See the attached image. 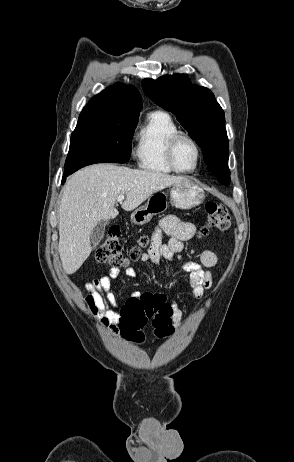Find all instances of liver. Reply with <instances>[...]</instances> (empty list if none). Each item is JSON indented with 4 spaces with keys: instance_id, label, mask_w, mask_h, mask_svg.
I'll list each match as a JSON object with an SVG mask.
<instances>
[{
    "instance_id": "1",
    "label": "liver",
    "mask_w": 294,
    "mask_h": 462,
    "mask_svg": "<svg viewBox=\"0 0 294 462\" xmlns=\"http://www.w3.org/2000/svg\"><path fill=\"white\" fill-rule=\"evenodd\" d=\"M185 180L161 172L130 169L113 164H96L74 173L63 188L59 206L58 251L64 271L75 273L89 257L90 235L98 222L114 219L121 207L132 211L152 194Z\"/></svg>"
}]
</instances>
